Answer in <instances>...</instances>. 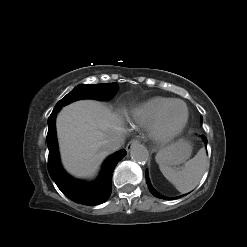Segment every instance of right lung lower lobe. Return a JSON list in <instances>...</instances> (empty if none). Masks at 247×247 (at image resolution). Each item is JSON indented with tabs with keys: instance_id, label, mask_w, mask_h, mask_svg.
Here are the masks:
<instances>
[{
	"instance_id": "obj_1",
	"label": "right lung lower lobe",
	"mask_w": 247,
	"mask_h": 247,
	"mask_svg": "<svg viewBox=\"0 0 247 247\" xmlns=\"http://www.w3.org/2000/svg\"><path fill=\"white\" fill-rule=\"evenodd\" d=\"M60 108L59 106H55L48 118V172L60 191L70 200L84 205H98L104 203L111 194L113 170L116 164L125 156L126 151L120 150L105 161L103 171L96 182L84 183L73 179L62 169L59 160L55 118Z\"/></svg>"
}]
</instances>
